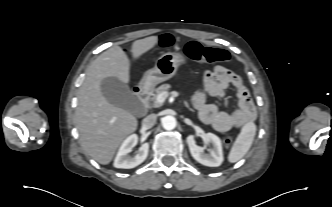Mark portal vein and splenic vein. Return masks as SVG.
I'll use <instances>...</instances> for the list:
<instances>
[{"instance_id": "portal-vein-and-splenic-vein-1", "label": "portal vein and splenic vein", "mask_w": 332, "mask_h": 207, "mask_svg": "<svg viewBox=\"0 0 332 207\" xmlns=\"http://www.w3.org/2000/svg\"><path fill=\"white\" fill-rule=\"evenodd\" d=\"M167 93L166 92H163L161 93L158 97H157V102L162 104L165 100V98L167 97Z\"/></svg>"}]
</instances>
